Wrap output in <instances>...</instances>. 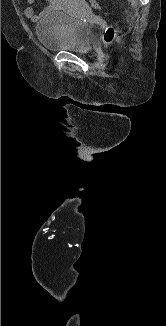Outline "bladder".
Returning <instances> with one entry per match:
<instances>
[{
	"label": "bladder",
	"instance_id": "obj_1",
	"mask_svg": "<svg viewBox=\"0 0 166 326\" xmlns=\"http://www.w3.org/2000/svg\"><path fill=\"white\" fill-rule=\"evenodd\" d=\"M88 10L86 5L79 6ZM39 43L51 51H73L87 54L91 50V31L87 24L60 11L45 14L35 26Z\"/></svg>",
	"mask_w": 166,
	"mask_h": 326
}]
</instances>
